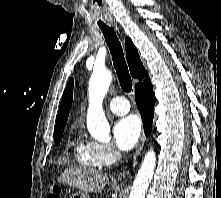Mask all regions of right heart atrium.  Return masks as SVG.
Returning <instances> with one entry per match:
<instances>
[{
	"mask_svg": "<svg viewBox=\"0 0 221 198\" xmlns=\"http://www.w3.org/2000/svg\"><path fill=\"white\" fill-rule=\"evenodd\" d=\"M96 161L99 166H108L113 164L120 154L110 143H93Z\"/></svg>",
	"mask_w": 221,
	"mask_h": 198,
	"instance_id": "obj_1",
	"label": "right heart atrium"
}]
</instances>
